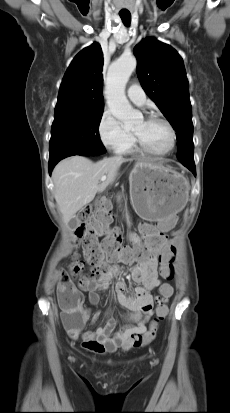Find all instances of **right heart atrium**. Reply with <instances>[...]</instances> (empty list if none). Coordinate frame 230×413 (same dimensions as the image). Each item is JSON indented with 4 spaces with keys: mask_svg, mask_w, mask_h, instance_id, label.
<instances>
[{
    "mask_svg": "<svg viewBox=\"0 0 230 413\" xmlns=\"http://www.w3.org/2000/svg\"><path fill=\"white\" fill-rule=\"evenodd\" d=\"M98 134L102 144L114 152H122L133 141V134L107 110L100 117Z\"/></svg>",
    "mask_w": 230,
    "mask_h": 413,
    "instance_id": "d8ad5b80",
    "label": "right heart atrium"
}]
</instances>
